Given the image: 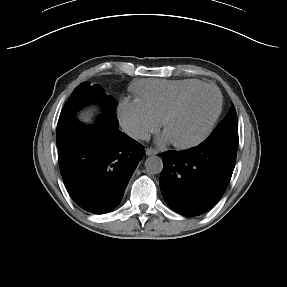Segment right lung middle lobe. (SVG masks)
<instances>
[{
	"instance_id": "obj_1",
	"label": "right lung middle lobe",
	"mask_w": 287,
	"mask_h": 287,
	"mask_svg": "<svg viewBox=\"0 0 287 287\" xmlns=\"http://www.w3.org/2000/svg\"><path fill=\"white\" fill-rule=\"evenodd\" d=\"M94 102L101 103L104 107V113L98 119V123H104L113 127L118 126V120L113 114L116 107L114 98L107 96L101 86L83 82L74 89L61 111L56 136L59 150L66 147L74 139L75 132L84 127L77 122L75 113L80 108Z\"/></svg>"
}]
</instances>
